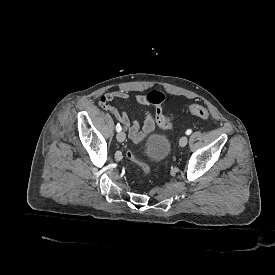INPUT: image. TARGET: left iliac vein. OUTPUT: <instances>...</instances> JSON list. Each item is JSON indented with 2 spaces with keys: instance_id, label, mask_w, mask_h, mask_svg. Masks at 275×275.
I'll list each match as a JSON object with an SVG mask.
<instances>
[{
  "instance_id": "4c4485c4",
  "label": "left iliac vein",
  "mask_w": 275,
  "mask_h": 275,
  "mask_svg": "<svg viewBox=\"0 0 275 275\" xmlns=\"http://www.w3.org/2000/svg\"><path fill=\"white\" fill-rule=\"evenodd\" d=\"M187 143H188V137L186 136L181 137V139L179 140V145L181 147H185Z\"/></svg>"
}]
</instances>
